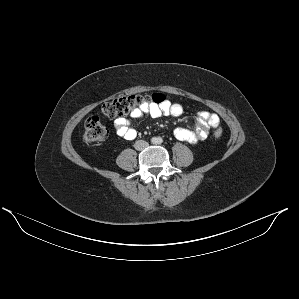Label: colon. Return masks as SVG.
<instances>
[{"label":"colon","mask_w":299,"mask_h":299,"mask_svg":"<svg viewBox=\"0 0 299 299\" xmlns=\"http://www.w3.org/2000/svg\"><path fill=\"white\" fill-rule=\"evenodd\" d=\"M163 97L160 94L152 95H130L115 98L102 104L100 108V114L106 118H116L133 112L143 106L150 104H161ZM108 131L104 124L98 117H89L84 125L82 132V139L85 142H99L107 137ZM216 138L222 136V130L216 128L214 131Z\"/></svg>","instance_id":"1"}]
</instances>
